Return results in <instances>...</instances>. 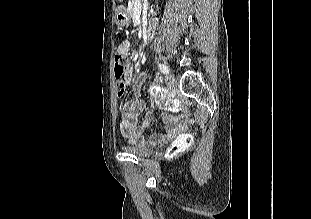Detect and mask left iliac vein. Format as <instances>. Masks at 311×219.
Segmentation results:
<instances>
[{"instance_id":"left-iliac-vein-1","label":"left iliac vein","mask_w":311,"mask_h":219,"mask_svg":"<svg viewBox=\"0 0 311 219\" xmlns=\"http://www.w3.org/2000/svg\"><path fill=\"white\" fill-rule=\"evenodd\" d=\"M165 83L169 91H173L177 86L175 77L172 74H168L165 77Z\"/></svg>"}]
</instances>
